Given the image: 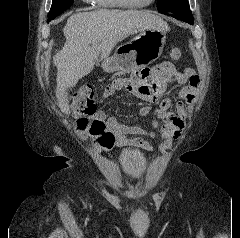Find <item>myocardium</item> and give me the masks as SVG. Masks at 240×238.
<instances>
[{"mask_svg":"<svg viewBox=\"0 0 240 238\" xmlns=\"http://www.w3.org/2000/svg\"><path fill=\"white\" fill-rule=\"evenodd\" d=\"M124 7H145L151 5L155 0H149L147 2H135L130 0H118Z\"/></svg>","mask_w":240,"mask_h":238,"instance_id":"f54148a6","label":"myocardium"}]
</instances>
